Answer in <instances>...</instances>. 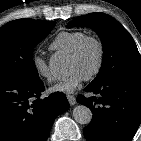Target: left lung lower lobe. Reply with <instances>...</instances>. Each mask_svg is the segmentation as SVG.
<instances>
[{
  "mask_svg": "<svg viewBox=\"0 0 141 141\" xmlns=\"http://www.w3.org/2000/svg\"><path fill=\"white\" fill-rule=\"evenodd\" d=\"M85 91L99 97H77V102L89 107L92 120L84 128L88 141H131L141 123V76H119Z\"/></svg>",
  "mask_w": 141,
  "mask_h": 141,
  "instance_id": "1",
  "label": "left lung lower lobe"
}]
</instances>
